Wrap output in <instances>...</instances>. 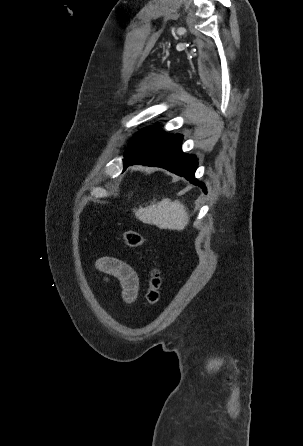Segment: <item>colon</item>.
<instances>
[{
	"instance_id": "5ec220e1",
	"label": "colon",
	"mask_w": 303,
	"mask_h": 446,
	"mask_svg": "<svg viewBox=\"0 0 303 446\" xmlns=\"http://www.w3.org/2000/svg\"><path fill=\"white\" fill-rule=\"evenodd\" d=\"M123 241L130 248H141L144 245V237L134 230H127L123 233ZM162 276L160 268L155 262H152L146 291V300L150 306L158 303L160 298V287Z\"/></svg>"
}]
</instances>
